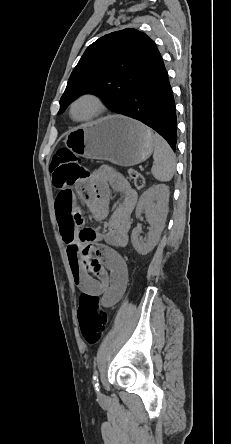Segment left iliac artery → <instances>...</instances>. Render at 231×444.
<instances>
[{
	"label": "left iliac artery",
	"instance_id": "44dca946",
	"mask_svg": "<svg viewBox=\"0 0 231 444\" xmlns=\"http://www.w3.org/2000/svg\"><path fill=\"white\" fill-rule=\"evenodd\" d=\"M93 386L97 392H99V380H98V372L95 370L93 372Z\"/></svg>",
	"mask_w": 231,
	"mask_h": 444
}]
</instances>
